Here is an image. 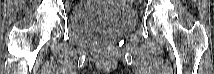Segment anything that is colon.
Returning a JSON list of instances; mask_svg holds the SVG:
<instances>
[{"instance_id": "1", "label": "colon", "mask_w": 214, "mask_h": 74, "mask_svg": "<svg viewBox=\"0 0 214 74\" xmlns=\"http://www.w3.org/2000/svg\"><path fill=\"white\" fill-rule=\"evenodd\" d=\"M128 3V5H131L134 1H126Z\"/></svg>"}]
</instances>
